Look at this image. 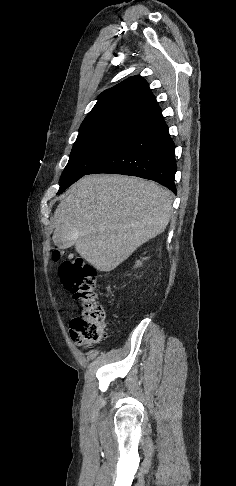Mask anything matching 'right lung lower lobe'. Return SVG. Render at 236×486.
<instances>
[{"instance_id": "98d812e1", "label": "right lung lower lobe", "mask_w": 236, "mask_h": 486, "mask_svg": "<svg viewBox=\"0 0 236 486\" xmlns=\"http://www.w3.org/2000/svg\"><path fill=\"white\" fill-rule=\"evenodd\" d=\"M175 144L161 111L143 120L137 133L87 174L113 173L156 181L177 193Z\"/></svg>"}]
</instances>
